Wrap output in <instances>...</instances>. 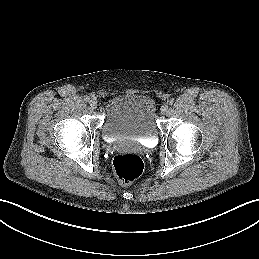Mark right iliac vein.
Returning <instances> with one entry per match:
<instances>
[{"label": "right iliac vein", "mask_w": 259, "mask_h": 259, "mask_svg": "<svg viewBox=\"0 0 259 259\" xmlns=\"http://www.w3.org/2000/svg\"><path fill=\"white\" fill-rule=\"evenodd\" d=\"M90 106H91L92 109H96L97 106H98V102L96 100H91Z\"/></svg>", "instance_id": "1"}]
</instances>
